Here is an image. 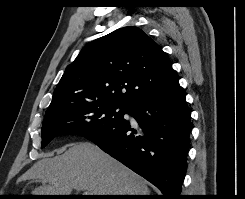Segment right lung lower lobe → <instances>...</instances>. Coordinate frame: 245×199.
Wrapping results in <instances>:
<instances>
[{
  "mask_svg": "<svg viewBox=\"0 0 245 199\" xmlns=\"http://www.w3.org/2000/svg\"><path fill=\"white\" fill-rule=\"evenodd\" d=\"M124 117L88 138L104 152L154 184L163 199H180L186 173L191 113L179 83L132 103Z\"/></svg>",
  "mask_w": 245,
  "mask_h": 199,
  "instance_id": "obj_1",
  "label": "right lung lower lobe"
}]
</instances>
